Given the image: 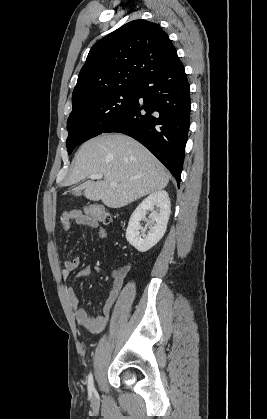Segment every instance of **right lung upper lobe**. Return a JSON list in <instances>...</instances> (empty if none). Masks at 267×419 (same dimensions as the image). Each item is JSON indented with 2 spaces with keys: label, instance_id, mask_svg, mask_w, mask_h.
<instances>
[{
  "label": "right lung upper lobe",
  "instance_id": "obj_1",
  "mask_svg": "<svg viewBox=\"0 0 267 419\" xmlns=\"http://www.w3.org/2000/svg\"><path fill=\"white\" fill-rule=\"evenodd\" d=\"M179 61L168 35L146 20L131 21L91 48L72 94V105L101 92L139 87L151 74Z\"/></svg>",
  "mask_w": 267,
  "mask_h": 419
}]
</instances>
